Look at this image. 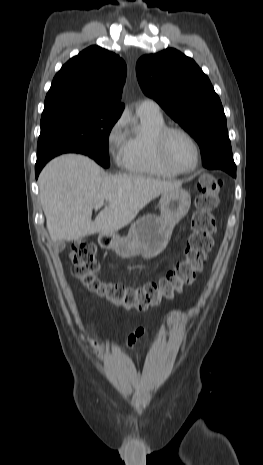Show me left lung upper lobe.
I'll return each instance as SVG.
<instances>
[{
    "instance_id": "1",
    "label": "left lung upper lobe",
    "mask_w": 263,
    "mask_h": 465,
    "mask_svg": "<svg viewBox=\"0 0 263 465\" xmlns=\"http://www.w3.org/2000/svg\"><path fill=\"white\" fill-rule=\"evenodd\" d=\"M136 72L143 92L198 142L203 161L236 166L221 101L193 59L170 48L142 56Z\"/></svg>"
}]
</instances>
